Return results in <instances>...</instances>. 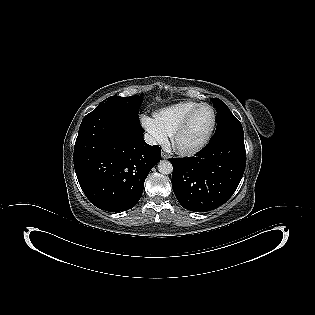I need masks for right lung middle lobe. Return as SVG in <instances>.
<instances>
[{
  "label": "right lung middle lobe",
  "mask_w": 315,
  "mask_h": 315,
  "mask_svg": "<svg viewBox=\"0 0 315 315\" xmlns=\"http://www.w3.org/2000/svg\"><path fill=\"white\" fill-rule=\"evenodd\" d=\"M141 103L140 96H111L103 100L95 110H112L123 116L139 119L138 113Z\"/></svg>",
  "instance_id": "right-lung-middle-lobe-1"
}]
</instances>
